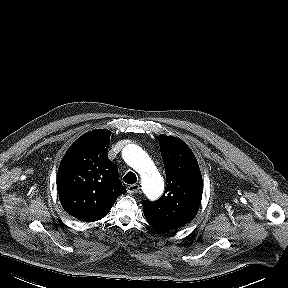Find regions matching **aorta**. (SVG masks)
<instances>
[{
  "label": "aorta",
  "mask_w": 288,
  "mask_h": 288,
  "mask_svg": "<svg viewBox=\"0 0 288 288\" xmlns=\"http://www.w3.org/2000/svg\"><path fill=\"white\" fill-rule=\"evenodd\" d=\"M122 155L125 162L140 174L146 196L152 200L160 197L164 190L163 178L143 149L129 144L123 149Z\"/></svg>",
  "instance_id": "aorta-1"
}]
</instances>
